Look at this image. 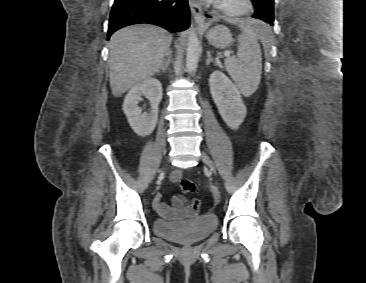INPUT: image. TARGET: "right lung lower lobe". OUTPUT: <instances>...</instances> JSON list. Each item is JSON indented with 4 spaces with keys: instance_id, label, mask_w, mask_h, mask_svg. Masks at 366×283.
Here are the masks:
<instances>
[{
    "instance_id": "obj_1",
    "label": "right lung lower lobe",
    "mask_w": 366,
    "mask_h": 283,
    "mask_svg": "<svg viewBox=\"0 0 366 283\" xmlns=\"http://www.w3.org/2000/svg\"><path fill=\"white\" fill-rule=\"evenodd\" d=\"M150 23L170 32L183 31L190 26L187 0H114L107 37L125 26Z\"/></svg>"
}]
</instances>
